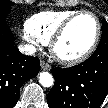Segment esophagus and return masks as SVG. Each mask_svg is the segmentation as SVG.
Here are the masks:
<instances>
[{"instance_id": "34e87169", "label": "esophagus", "mask_w": 108, "mask_h": 108, "mask_svg": "<svg viewBox=\"0 0 108 108\" xmlns=\"http://www.w3.org/2000/svg\"><path fill=\"white\" fill-rule=\"evenodd\" d=\"M40 66H41V69L45 70V71H48L51 69V66L48 63H46L45 61H41Z\"/></svg>"}]
</instances>
